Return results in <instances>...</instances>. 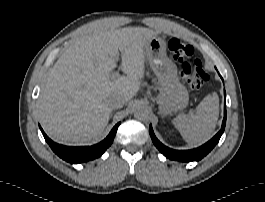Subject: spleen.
Masks as SVG:
<instances>
[{
    "label": "spleen",
    "mask_w": 265,
    "mask_h": 202,
    "mask_svg": "<svg viewBox=\"0 0 265 202\" xmlns=\"http://www.w3.org/2000/svg\"><path fill=\"white\" fill-rule=\"evenodd\" d=\"M219 116L217 94L206 96L189 114L178 115L172 120L173 125L189 144H202L211 136Z\"/></svg>",
    "instance_id": "3e777b00"
}]
</instances>
